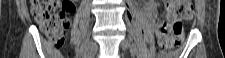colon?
I'll list each match as a JSON object with an SVG mask.
<instances>
[{"mask_svg":"<svg viewBox=\"0 0 225 58\" xmlns=\"http://www.w3.org/2000/svg\"><path fill=\"white\" fill-rule=\"evenodd\" d=\"M73 9L70 1L34 0L31 12L48 41L60 47L69 28L68 12ZM193 14L191 0H169L166 2L165 20L156 31L158 45L164 50L178 47L183 40V22Z\"/></svg>","mask_w":225,"mask_h":58,"instance_id":"5ec220e1","label":"colon"}]
</instances>
